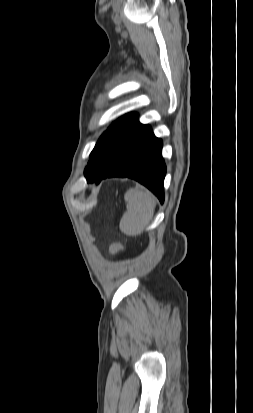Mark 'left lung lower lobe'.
<instances>
[{
    "label": "left lung lower lobe",
    "instance_id": "0a47b994",
    "mask_svg": "<svg viewBox=\"0 0 253 413\" xmlns=\"http://www.w3.org/2000/svg\"><path fill=\"white\" fill-rule=\"evenodd\" d=\"M121 138L108 160L87 182L99 183L107 177H129L149 188L164 201L163 182L166 166L162 158V141L154 136L149 125L139 123L138 118L124 123Z\"/></svg>",
    "mask_w": 253,
    "mask_h": 413
}]
</instances>
